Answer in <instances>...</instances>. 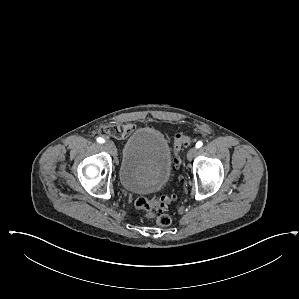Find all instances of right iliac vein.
<instances>
[{"mask_svg": "<svg viewBox=\"0 0 299 299\" xmlns=\"http://www.w3.org/2000/svg\"><path fill=\"white\" fill-rule=\"evenodd\" d=\"M105 146L107 147V149L110 151V153L116 157L117 156V149L116 146L111 142V141H107L105 143Z\"/></svg>", "mask_w": 299, "mask_h": 299, "instance_id": "right-iliac-vein-1", "label": "right iliac vein"}]
</instances>
